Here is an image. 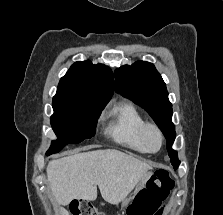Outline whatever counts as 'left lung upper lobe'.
<instances>
[{"label": "left lung upper lobe", "instance_id": "1", "mask_svg": "<svg viewBox=\"0 0 223 215\" xmlns=\"http://www.w3.org/2000/svg\"><path fill=\"white\" fill-rule=\"evenodd\" d=\"M116 91L143 107L156 122L167 140L170 162L175 169L180 161L172 150L176 133L172 123V104L168 99L166 84L152 63L137 61L115 71Z\"/></svg>", "mask_w": 223, "mask_h": 215}]
</instances>
